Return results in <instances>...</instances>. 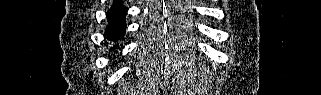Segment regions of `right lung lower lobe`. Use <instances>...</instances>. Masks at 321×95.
<instances>
[{
	"instance_id": "98d812e1",
	"label": "right lung lower lobe",
	"mask_w": 321,
	"mask_h": 95,
	"mask_svg": "<svg viewBox=\"0 0 321 95\" xmlns=\"http://www.w3.org/2000/svg\"><path fill=\"white\" fill-rule=\"evenodd\" d=\"M127 10L128 8L122 4V1L113 2L112 7L106 14L108 26L105 31V38L111 41H117L123 38L126 30L125 15Z\"/></svg>"
}]
</instances>
